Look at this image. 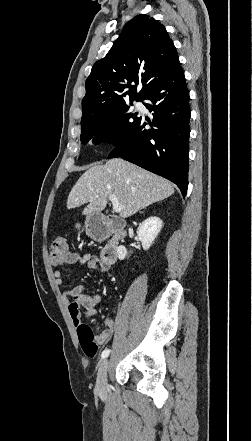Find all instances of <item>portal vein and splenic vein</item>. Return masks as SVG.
Masks as SVG:
<instances>
[{
  "mask_svg": "<svg viewBox=\"0 0 252 441\" xmlns=\"http://www.w3.org/2000/svg\"><path fill=\"white\" fill-rule=\"evenodd\" d=\"M109 199L112 202L113 210L115 212H120L123 209V206L119 203V201L115 195L110 194Z\"/></svg>",
  "mask_w": 252,
  "mask_h": 441,
  "instance_id": "portal-vein-and-splenic-vein-1",
  "label": "portal vein and splenic vein"
}]
</instances>
